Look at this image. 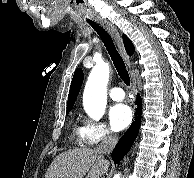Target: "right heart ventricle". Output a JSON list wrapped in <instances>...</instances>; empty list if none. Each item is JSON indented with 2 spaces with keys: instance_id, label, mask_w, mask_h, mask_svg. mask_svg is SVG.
Returning <instances> with one entry per match:
<instances>
[{
  "instance_id": "obj_1",
  "label": "right heart ventricle",
  "mask_w": 194,
  "mask_h": 178,
  "mask_svg": "<svg viewBox=\"0 0 194 178\" xmlns=\"http://www.w3.org/2000/svg\"><path fill=\"white\" fill-rule=\"evenodd\" d=\"M75 130L80 134L81 128L77 127V125H75Z\"/></svg>"
}]
</instances>
